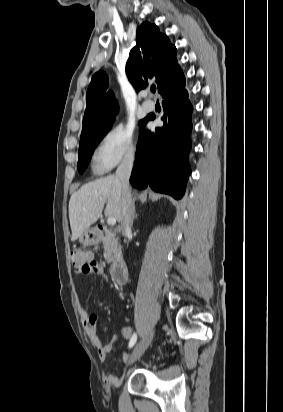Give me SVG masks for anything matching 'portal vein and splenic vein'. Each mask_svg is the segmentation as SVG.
I'll list each match as a JSON object with an SVG mask.
<instances>
[{
    "label": "portal vein and splenic vein",
    "instance_id": "18ae733b",
    "mask_svg": "<svg viewBox=\"0 0 283 412\" xmlns=\"http://www.w3.org/2000/svg\"><path fill=\"white\" fill-rule=\"evenodd\" d=\"M107 224L108 225H115L116 224V219L114 217H108Z\"/></svg>",
    "mask_w": 283,
    "mask_h": 412
}]
</instances>
